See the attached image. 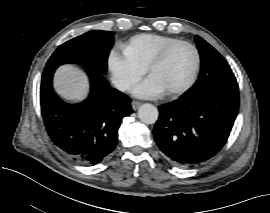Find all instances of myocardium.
I'll use <instances>...</instances> for the list:
<instances>
[{
	"instance_id": "f54148a6",
	"label": "myocardium",
	"mask_w": 270,
	"mask_h": 213,
	"mask_svg": "<svg viewBox=\"0 0 270 213\" xmlns=\"http://www.w3.org/2000/svg\"><path fill=\"white\" fill-rule=\"evenodd\" d=\"M182 45L189 46L193 49L195 56H196V64H195V67L193 69V72L191 74L190 79L182 87L175 89V90L165 92V95L168 97L182 95L194 86L196 79H197V76H198V72L200 69V62H201L200 53H199L198 48L193 43H191L189 41L180 40V41L168 46L163 51H161L154 59H152V61L148 65V73L151 75L154 68L156 66H158L160 63H162L173 49H175L178 46H182Z\"/></svg>"
}]
</instances>
